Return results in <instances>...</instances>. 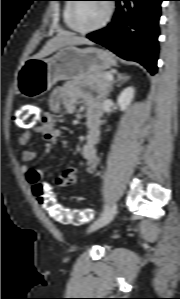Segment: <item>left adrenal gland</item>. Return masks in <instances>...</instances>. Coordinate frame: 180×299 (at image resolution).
<instances>
[{
    "mask_svg": "<svg viewBox=\"0 0 180 299\" xmlns=\"http://www.w3.org/2000/svg\"><path fill=\"white\" fill-rule=\"evenodd\" d=\"M129 80V77L124 75V74H121V73H117V79L113 81V84L111 85V87L109 88V92L113 89V85L115 83H118L119 84H122V83H125L126 81Z\"/></svg>",
    "mask_w": 180,
    "mask_h": 299,
    "instance_id": "left-adrenal-gland-1",
    "label": "left adrenal gland"
}]
</instances>
